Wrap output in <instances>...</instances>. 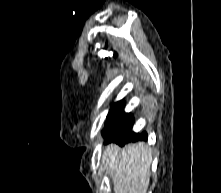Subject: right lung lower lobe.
<instances>
[{
	"label": "right lung lower lobe",
	"instance_id": "obj_1",
	"mask_svg": "<svg viewBox=\"0 0 221 193\" xmlns=\"http://www.w3.org/2000/svg\"><path fill=\"white\" fill-rule=\"evenodd\" d=\"M147 139V134L146 132H143L142 134L139 133H134V132H129L128 134H126L125 136L118 138L112 142L123 146L124 144L130 142V141H138V140H146ZM111 143V142H110Z\"/></svg>",
	"mask_w": 221,
	"mask_h": 193
}]
</instances>
